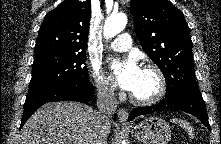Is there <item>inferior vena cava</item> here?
Returning <instances> with one entry per match:
<instances>
[{"label":"inferior vena cava","mask_w":221,"mask_h":144,"mask_svg":"<svg viewBox=\"0 0 221 144\" xmlns=\"http://www.w3.org/2000/svg\"><path fill=\"white\" fill-rule=\"evenodd\" d=\"M97 108L92 144H106L107 135L104 125L109 122L111 114L117 109V99L113 85L105 83L97 86Z\"/></svg>","instance_id":"1"}]
</instances>
